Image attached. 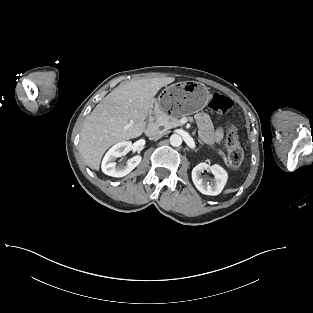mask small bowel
Returning a JSON list of instances; mask_svg holds the SVG:
<instances>
[{"label":"small bowel","mask_w":313,"mask_h":313,"mask_svg":"<svg viewBox=\"0 0 313 313\" xmlns=\"http://www.w3.org/2000/svg\"><path fill=\"white\" fill-rule=\"evenodd\" d=\"M200 135L207 143L219 142L223 137V129L214 130L206 113H198L195 116Z\"/></svg>","instance_id":"c3829d8e"}]
</instances>
